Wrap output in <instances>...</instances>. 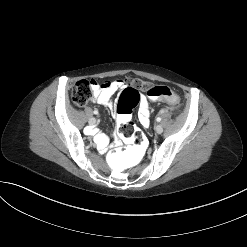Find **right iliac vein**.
I'll return each mask as SVG.
<instances>
[{"label": "right iliac vein", "mask_w": 247, "mask_h": 247, "mask_svg": "<svg viewBox=\"0 0 247 247\" xmlns=\"http://www.w3.org/2000/svg\"><path fill=\"white\" fill-rule=\"evenodd\" d=\"M96 123V119L94 118V117H91L90 119H89V124L90 125H94Z\"/></svg>", "instance_id": "1"}]
</instances>
